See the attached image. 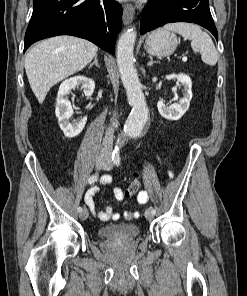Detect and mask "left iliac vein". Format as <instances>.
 I'll return each instance as SVG.
<instances>
[{
    "instance_id": "1",
    "label": "left iliac vein",
    "mask_w": 247,
    "mask_h": 296,
    "mask_svg": "<svg viewBox=\"0 0 247 296\" xmlns=\"http://www.w3.org/2000/svg\"><path fill=\"white\" fill-rule=\"evenodd\" d=\"M112 167H113V163L111 158H107L105 164L103 165V169L109 171L112 169ZM145 218L151 221L154 218V214L149 209H147L145 211Z\"/></svg>"
}]
</instances>
